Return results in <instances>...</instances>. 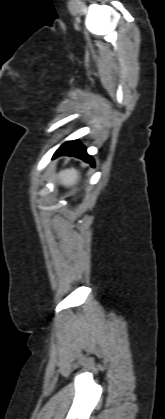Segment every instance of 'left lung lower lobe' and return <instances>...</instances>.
Here are the masks:
<instances>
[{"label": "left lung lower lobe", "instance_id": "1", "mask_svg": "<svg viewBox=\"0 0 165 419\" xmlns=\"http://www.w3.org/2000/svg\"><path fill=\"white\" fill-rule=\"evenodd\" d=\"M61 155L75 156L94 165L92 157L87 154L86 148L81 145L78 140L66 142L61 145V147L55 152L53 158Z\"/></svg>", "mask_w": 165, "mask_h": 419}]
</instances>
